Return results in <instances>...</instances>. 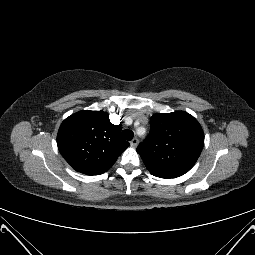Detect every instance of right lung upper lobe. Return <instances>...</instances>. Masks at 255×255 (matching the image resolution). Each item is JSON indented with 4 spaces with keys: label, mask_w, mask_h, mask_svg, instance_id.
Wrapping results in <instances>:
<instances>
[{
    "label": "right lung upper lobe",
    "mask_w": 255,
    "mask_h": 255,
    "mask_svg": "<svg viewBox=\"0 0 255 255\" xmlns=\"http://www.w3.org/2000/svg\"><path fill=\"white\" fill-rule=\"evenodd\" d=\"M121 127L104 111H79L66 118L57 134V145L65 160L77 171L100 175L112 167L129 146Z\"/></svg>",
    "instance_id": "cb5924a9"
}]
</instances>
